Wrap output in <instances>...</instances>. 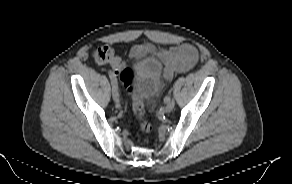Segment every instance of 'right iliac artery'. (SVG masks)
<instances>
[{
  "mask_svg": "<svg viewBox=\"0 0 292 184\" xmlns=\"http://www.w3.org/2000/svg\"><path fill=\"white\" fill-rule=\"evenodd\" d=\"M109 77L111 79L112 85H117V79L115 78V75L113 74L112 71H109Z\"/></svg>",
  "mask_w": 292,
  "mask_h": 184,
  "instance_id": "right-iliac-artery-1",
  "label": "right iliac artery"
}]
</instances>
